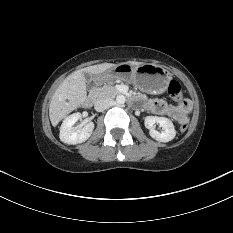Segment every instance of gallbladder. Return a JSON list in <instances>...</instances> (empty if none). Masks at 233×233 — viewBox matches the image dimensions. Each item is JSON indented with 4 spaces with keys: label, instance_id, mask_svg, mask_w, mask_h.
Masks as SVG:
<instances>
[{
    "label": "gallbladder",
    "instance_id": "bac80fb5",
    "mask_svg": "<svg viewBox=\"0 0 233 233\" xmlns=\"http://www.w3.org/2000/svg\"><path fill=\"white\" fill-rule=\"evenodd\" d=\"M84 77L86 79L87 84L89 85L92 79V75L90 73H84Z\"/></svg>",
    "mask_w": 233,
    "mask_h": 233
}]
</instances>
